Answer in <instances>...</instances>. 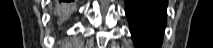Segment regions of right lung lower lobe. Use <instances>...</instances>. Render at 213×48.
<instances>
[{
  "label": "right lung lower lobe",
  "mask_w": 213,
  "mask_h": 48,
  "mask_svg": "<svg viewBox=\"0 0 213 48\" xmlns=\"http://www.w3.org/2000/svg\"><path fill=\"white\" fill-rule=\"evenodd\" d=\"M61 2H62V1H61ZM63 2H69V0H66V1L64 0ZM66 10H67V9L64 10V13L66 12Z\"/></svg>",
  "instance_id": "obj_1"
}]
</instances>
